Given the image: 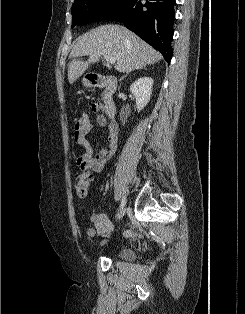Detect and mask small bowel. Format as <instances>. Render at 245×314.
<instances>
[{"instance_id": "c3829d8e", "label": "small bowel", "mask_w": 245, "mask_h": 314, "mask_svg": "<svg viewBox=\"0 0 245 314\" xmlns=\"http://www.w3.org/2000/svg\"><path fill=\"white\" fill-rule=\"evenodd\" d=\"M101 106L97 103L91 106L92 112L97 114V121L100 126L107 129V144L99 151L95 152L90 142L85 138L91 130V120L89 113L85 111L75 125L73 139L75 143L82 146L85 153L77 159V164L92 173L101 172L104 167L113 159L117 151L118 130L117 126L110 124L107 119L100 114ZM95 228L86 230V235L90 238L96 234H105L113 230V224L105 214H96L94 216ZM128 235H138L135 232H128Z\"/></svg>"}]
</instances>
